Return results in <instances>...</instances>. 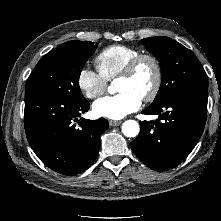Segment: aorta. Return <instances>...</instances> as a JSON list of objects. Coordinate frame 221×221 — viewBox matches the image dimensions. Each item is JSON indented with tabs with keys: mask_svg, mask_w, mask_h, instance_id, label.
Returning a JSON list of instances; mask_svg holds the SVG:
<instances>
[{
	"mask_svg": "<svg viewBox=\"0 0 221 221\" xmlns=\"http://www.w3.org/2000/svg\"><path fill=\"white\" fill-rule=\"evenodd\" d=\"M113 92V87L109 88ZM122 133L127 137H136L140 132V126L135 120H127L122 124Z\"/></svg>",
	"mask_w": 221,
	"mask_h": 221,
	"instance_id": "aorta-1",
	"label": "aorta"
}]
</instances>
